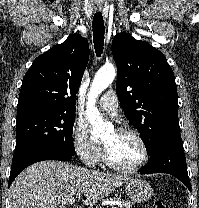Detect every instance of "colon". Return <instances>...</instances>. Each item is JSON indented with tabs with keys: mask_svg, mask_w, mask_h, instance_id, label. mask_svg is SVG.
Returning <instances> with one entry per match:
<instances>
[{
	"mask_svg": "<svg viewBox=\"0 0 199 208\" xmlns=\"http://www.w3.org/2000/svg\"><path fill=\"white\" fill-rule=\"evenodd\" d=\"M152 208H167V206L162 201H155Z\"/></svg>",
	"mask_w": 199,
	"mask_h": 208,
	"instance_id": "5ec220e1",
	"label": "colon"
}]
</instances>
